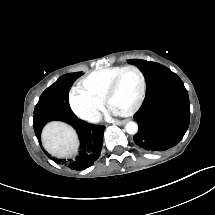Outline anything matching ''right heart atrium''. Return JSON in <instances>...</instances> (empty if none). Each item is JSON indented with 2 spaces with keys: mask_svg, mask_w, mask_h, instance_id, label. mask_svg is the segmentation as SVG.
Returning a JSON list of instances; mask_svg holds the SVG:
<instances>
[{
  "mask_svg": "<svg viewBox=\"0 0 215 215\" xmlns=\"http://www.w3.org/2000/svg\"><path fill=\"white\" fill-rule=\"evenodd\" d=\"M69 104L70 108L80 119L88 122H96L98 120L101 105L89 93L73 88L69 95Z\"/></svg>",
  "mask_w": 215,
  "mask_h": 215,
  "instance_id": "obj_1",
  "label": "right heart atrium"
}]
</instances>
